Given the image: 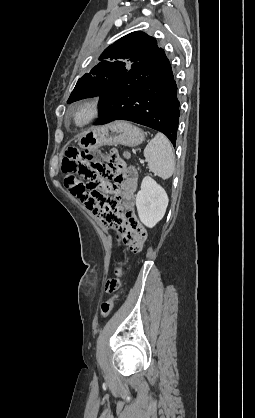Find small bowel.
Listing matches in <instances>:
<instances>
[{"label":"small bowel","instance_id":"small-bowel-1","mask_svg":"<svg viewBox=\"0 0 255 418\" xmlns=\"http://www.w3.org/2000/svg\"><path fill=\"white\" fill-rule=\"evenodd\" d=\"M108 163H115L117 173L114 176V183L110 192L119 200L118 209L119 217L124 219L128 217L134 206V194L138 187V173L133 168L125 167L124 155L119 153L117 147H112L107 157ZM104 226L110 227L107 221L102 222ZM120 234L122 237V247L130 249L131 256H140L141 249H144L146 241L145 228H117L115 235ZM123 267L118 265L115 274H109L107 284L104 287L106 295L113 297L119 287V280L122 277Z\"/></svg>","mask_w":255,"mask_h":418}]
</instances>
